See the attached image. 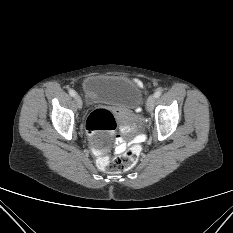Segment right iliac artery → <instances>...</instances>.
<instances>
[{
	"mask_svg": "<svg viewBox=\"0 0 233 233\" xmlns=\"http://www.w3.org/2000/svg\"><path fill=\"white\" fill-rule=\"evenodd\" d=\"M69 94L72 96V97H75L76 95V92L73 90V89H69Z\"/></svg>",
	"mask_w": 233,
	"mask_h": 233,
	"instance_id": "82829eb1",
	"label": "right iliac artery"
}]
</instances>
